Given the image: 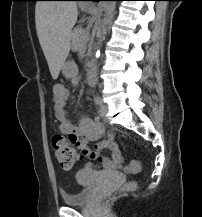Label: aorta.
Returning <instances> with one entry per match:
<instances>
[{"instance_id": "1", "label": "aorta", "mask_w": 202, "mask_h": 217, "mask_svg": "<svg viewBox=\"0 0 202 217\" xmlns=\"http://www.w3.org/2000/svg\"><path fill=\"white\" fill-rule=\"evenodd\" d=\"M115 7H116L115 1H103L102 2V9L104 11V18L102 20V24H101L100 30L98 32V48L101 45L102 41L104 40V36L107 32V26L114 16ZM99 55H100V51L97 50L96 56H99Z\"/></svg>"}]
</instances>
